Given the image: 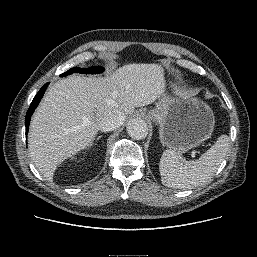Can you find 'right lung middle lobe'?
Returning <instances> with one entry per match:
<instances>
[{
  "label": "right lung middle lobe",
  "instance_id": "obj_1",
  "mask_svg": "<svg viewBox=\"0 0 257 257\" xmlns=\"http://www.w3.org/2000/svg\"><path fill=\"white\" fill-rule=\"evenodd\" d=\"M81 73V74H96V73H101L103 72V68L99 67V66H95V67H90V68H78V67H74L69 69L67 72L61 74V77L70 75L72 73Z\"/></svg>",
  "mask_w": 257,
  "mask_h": 257
}]
</instances>
